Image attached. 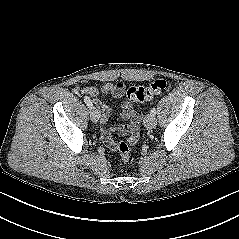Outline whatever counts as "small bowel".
Returning a JSON list of instances; mask_svg holds the SVG:
<instances>
[{"instance_id":"obj_1","label":"small bowel","mask_w":239,"mask_h":239,"mask_svg":"<svg viewBox=\"0 0 239 239\" xmlns=\"http://www.w3.org/2000/svg\"><path fill=\"white\" fill-rule=\"evenodd\" d=\"M81 94H86L92 97L93 103L101 112V136L104 144L109 148H115L116 142L113 139V133L116 132L121 135H127L128 140L131 144H135L139 137V132L136 129H139V123L135 122L136 115L130 104L124 102L121 104V118L124 120H130L128 123L119 125L115 128H112L108 125L109 118L111 116V108L102 103L99 100L101 94L111 95L113 98H121L124 95L125 88L121 83H105L101 87L94 86H85L78 90Z\"/></svg>"}]
</instances>
